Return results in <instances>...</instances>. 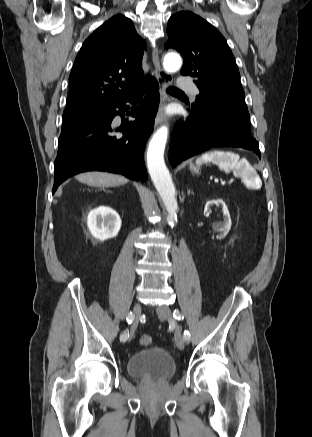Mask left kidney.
Returning a JSON list of instances; mask_svg holds the SVG:
<instances>
[{"label": "left kidney", "mask_w": 312, "mask_h": 437, "mask_svg": "<svg viewBox=\"0 0 312 437\" xmlns=\"http://www.w3.org/2000/svg\"><path fill=\"white\" fill-rule=\"evenodd\" d=\"M213 205H222V212L224 215V219L221 222L215 223L213 225L214 230L218 231V232H222L223 234H227L231 228V218H230V214L228 211L227 206L225 205V203L223 202V200H209L204 208V215L205 216H209L210 212H211V206Z\"/></svg>", "instance_id": "5707ae66"}]
</instances>
